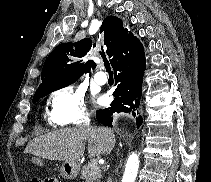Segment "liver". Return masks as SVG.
Returning a JSON list of instances; mask_svg holds the SVG:
<instances>
[{"instance_id":"liver-1","label":"liver","mask_w":211,"mask_h":182,"mask_svg":"<svg viewBox=\"0 0 211 182\" xmlns=\"http://www.w3.org/2000/svg\"><path fill=\"white\" fill-rule=\"evenodd\" d=\"M86 141L89 157L92 158L109 153L116 139L108 128H65L32 139L25 153L48 160L72 162L83 156Z\"/></svg>"}]
</instances>
